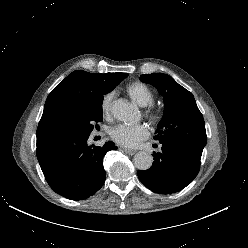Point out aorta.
<instances>
[{"mask_svg": "<svg viewBox=\"0 0 248 248\" xmlns=\"http://www.w3.org/2000/svg\"><path fill=\"white\" fill-rule=\"evenodd\" d=\"M111 112L115 119L125 123L134 122L138 116L137 107L122 100H118L113 104ZM152 163L153 157L146 151H139L134 156V165L139 170H148Z\"/></svg>", "mask_w": 248, "mask_h": 248, "instance_id": "762f6f07", "label": "aorta"}]
</instances>
